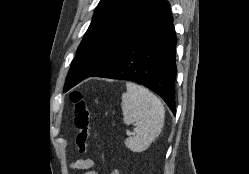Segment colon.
<instances>
[{"instance_id": "5ec220e1", "label": "colon", "mask_w": 249, "mask_h": 174, "mask_svg": "<svg viewBox=\"0 0 249 174\" xmlns=\"http://www.w3.org/2000/svg\"><path fill=\"white\" fill-rule=\"evenodd\" d=\"M70 100L74 104V126L76 128L75 146L81 154L88 151V140L91 133V116L88 104L80 92L70 94Z\"/></svg>"}]
</instances>
